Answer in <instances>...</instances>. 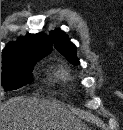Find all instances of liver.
<instances>
[{
    "label": "liver",
    "instance_id": "1",
    "mask_svg": "<svg viewBox=\"0 0 123 130\" xmlns=\"http://www.w3.org/2000/svg\"><path fill=\"white\" fill-rule=\"evenodd\" d=\"M85 128L56 100L18 96L1 105V130Z\"/></svg>",
    "mask_w": 123,
    "mask_h": 130
}]
</instances>
